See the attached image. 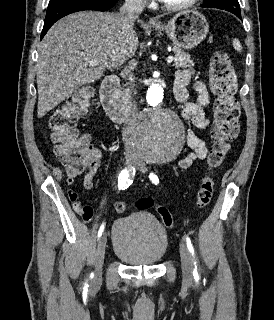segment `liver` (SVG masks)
Listing matches in <instances>:
<instances>
[{"label": "liver", "mask_w": 274, "mask_h": 320, "mask_svg": "<svg viewBox=\"0 0 274 320\" xmlns=\"http://www.w3.org/2000/svg\"><path fill=\"white\" fill-rule=\"evenodd\" d=\"M119 20L111 12H75L50 28L38 48V118L135 56L138 38L123 36ZM94 60L98 66H90Z\"/></svg>", "instance_id": "6515ba94"}]
</instances>
